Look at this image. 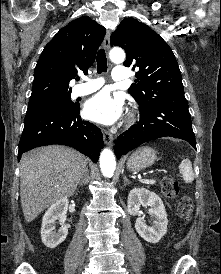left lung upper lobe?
Instances as JSON below:
<instances>
[{
  "mask_svg": "<svg viewBox=\"0 0 221 274\" xmlns=\"http://www.w3.org/2000/svg\"><path fill=\"white\" fill-rule=\"evenodd\" d=\"M111 45L126 51L124 66L139 69L129 88L140 108L185 99L182 76L171 48L148 25L125 18L111 34Z\"/></svg>",
  "mask_w": 221,
  "mask_h": 274,
  "instance_id": "left-lung-upper-lobe-1",
  "label": "left lung upper lobe"
}]
</instances>
